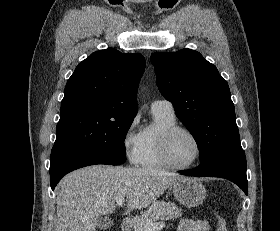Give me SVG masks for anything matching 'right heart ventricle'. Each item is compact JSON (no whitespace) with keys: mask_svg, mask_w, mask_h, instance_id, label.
Instances as JSON below:
<instances>
[{"mask_svg":"<svg viewBox=\"0 0 280 231\" xmlns=\"http://www.w3.org/2000/svg\"><path fill=\"white\" fill-rule=\"evenodd\" d=\"M153 114L157 120V126L147 127L142 132L143 150L140 164L149 169H166L169 167L162 161L159 155L158 136L163 128L177 125V119L175 115Z\"/></svg>","mask_w":280,"mask_h":231,"instance_id":"right-heart-ventricle-1","label":"right heart ventricle"}]
</instances>
